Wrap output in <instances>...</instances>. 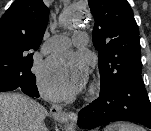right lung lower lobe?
<instances>
[{"label":"right lung lower lobe","mask_w":151,"mask_h":131,"mask_svg":"<svg viewBox=\"0 0 151 131\" xmlns=\"http://www.w3.org/2000/svg\"><path fill=\"white\" fill-rule=\"evenodd\" d=\"M17 88L31 97H39V92L35 83V76L18 82H13L8 81L5 77L0 75V92L12 91Z\"/></svg>","instance_id":"1"}]
</instances>
